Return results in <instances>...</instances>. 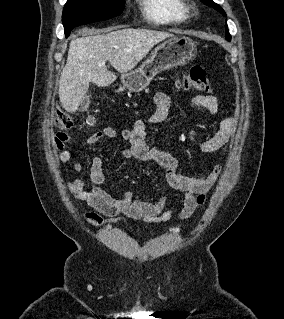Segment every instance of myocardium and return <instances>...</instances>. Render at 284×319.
Returning <instances> with one entry per match:
<instances>
[{"instance_id": "myocardium-1", "label": "myocardium", "mask_w": 284, "mask_h": 319, "mask_svg": "<svg viewBox=\"0 0 284 319\" xmlns=\"http://www.w3.org/2000/svg\"><path fill=\"white\" fill-rule=\"evenodd\" d=\"M186 8L188 12L197 13V5L193 2L186 4Z\"/></svg>"}]
</instances>
